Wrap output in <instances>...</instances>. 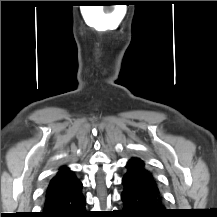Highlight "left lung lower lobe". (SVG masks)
I'll list each match as a JSON object with an SVG mask.
<instances>
[{"label":"left lung lower lobe","instance_id":"0a47b994","mask_svg":"<svg viewBox=\"0 0 217 217\" xmlns=\"http://www.w3.org/2000/svg\"><path fill=\"white\" fill-rule=\"evenodd\" d=\"M128 172L123 177L124 185L121 199L126 217H167L163 197L156 182L145 180L134 172L128 163Z\"/></svg>","mask_w":217,"mask_h":217}]
</instances>
